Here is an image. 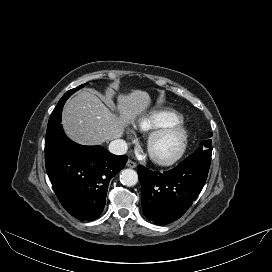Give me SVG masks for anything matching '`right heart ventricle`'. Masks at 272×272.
Wrapping results in <instances>:
<instances>
[{
  "instance_id": "obj_1",
  "label": "right heart ventricle",
  "mask_w": 272,
  "mask_h": 272,
  "mask_svg": "<svg viewBox=\"0 0 272 272\" xmlns=\"http://www.w3.org/2000/svg\"><path fill=\"white\" fill-rule=\"evenodd\" d=\"M181 121L182 117L177 112L168 109H158L141 118L138 126L143 131L151 132Z\"/></svg>"
}]
</instances>
